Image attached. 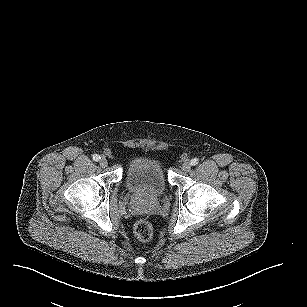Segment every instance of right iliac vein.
Masks as SVG:
<instances>
[{"label": "right iliac vein", "mask_w": 307, "mask_h": 307, "mask_svg": "<svg viewBox=\"0 0 307 307\" xmlns=\"http://www.w3.org/2000/svg\"><path fill=\"white\" fill-rule=\"evenodd\" d=\"M99 164H100V166H101L102 168H105V167H107V165H108V161H107L105 158H102V159L100 160Z\"/></svg>", "instance_id": "1"}]
</instances>
